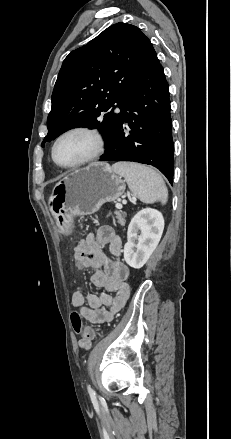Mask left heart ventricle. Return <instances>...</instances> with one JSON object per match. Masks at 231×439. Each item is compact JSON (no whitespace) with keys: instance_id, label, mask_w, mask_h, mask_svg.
Listing matches in <instances>:
<instances>
[{"instance_id":"left-heart-ventricle-1","label":"left heart ventricle","mask_w":231,"mask_h":439,"mask_svg":"<svg viewBox=\"0 0 231 439\" xmlns=\"http://www.w3.org/2000/svg\"><path fill=\"white\" fill-rule=\"evenodd\" d=\"M95 147L92 136L82 132L72 133L60 140L56 148V157L61 164H73L91 155Z\"/></svg>"}]
</instances>
